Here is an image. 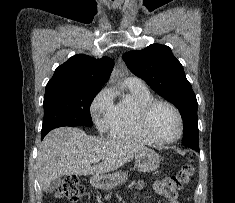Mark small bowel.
<instances>
[{
	"instance_id": "small-bowel-1",
	"label": "small bowel",
	"mask_w": 235,
	"mask_h": 203,
	"mask_svg": "<svg viewBox=\"0 0 235 203\" xmlns=\"http://www.w3.org/2000/svg\"><path fill=\"white\" fill-rule=\"evenodd\" d=\"M138 187H139V188H142V187H143V182L139 181V182H138ZM172 203H178V202L173 201Z\"/></svg>"
}]
</instances>
